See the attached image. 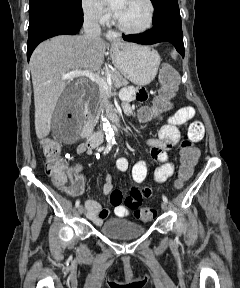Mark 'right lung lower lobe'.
I'll list each match as a JSON object with an SVG mask.
<instances>
[{
	"instance_id": "1",
	"label": "right lung lower lobe",
	"mask_w": 240,
	"mask_h": 288,
	"mask_svg": "<svg viewBox=\"0 0 240 288\" xmlns=\"http://www.w3.org/2000/svg\"><path fill=\"white\" fill-rule=\"evenodd\" d=\"M82 24L83 14L79 16L55 14L40 20L34 27L28 29V61L40 42L60 34L74 35L80 30Z\"/></svg>"
}]
</instances>
